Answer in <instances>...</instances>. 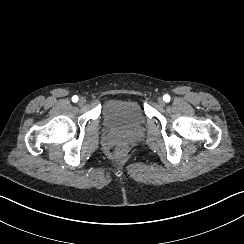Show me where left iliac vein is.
<instances>
[{"label": "left iliac vein", "mask_w": 244, "mask_h": 244, "mask_svg": "<svg viewBox=\"0 0 244 244\" xmlns=\"http://www.w3.org/2000/svg\"><path fill=\"white\" fill-rule=\"evenodd\" d=\"M157 102H158V104L160 106H164L165 105V101H164V99L162 97H159L158 100H157Z\"/></svg>", "instance_id": "4c4485c4"}]
</instances>
